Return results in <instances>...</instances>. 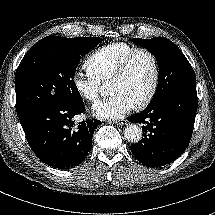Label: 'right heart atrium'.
<instances>
[{"instance_id":"right-heart-atrium-1","label":"right heart atrium","mask_w":215,"mask_h":215,"mask_svg":"<svg viewBox=\"0 0 215 215\" xmlns=\"http://www.w3.org/2000/svg\"><path fill=\"white\" fill-rule=\"evenodd\" d=\"M72 83L77 94L85 101L94 103L100 95V81L93 75L76 70Z\"/></svg>"}]
</instances>
